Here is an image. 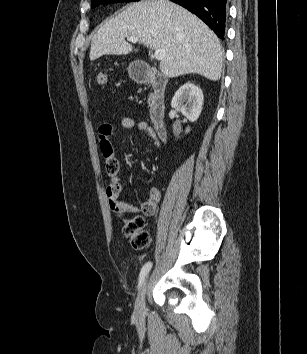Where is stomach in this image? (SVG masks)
Returning <instances> with one entry per match:
<instances>
[{
	"instance_id": "stomach-1",
	"label": "stomach",
	"mask_w": 307,
	"mask_h": 354,
	"mask_svg": "<svg viewBox=\"0 0 307 354\" xmlns=\"http://www.w3.org/2000/svg\"><path fill=\"white\" fill-rule=\"evenodd\" d=\"M128 72L131 77H135L137 75L134 63H131L128 67Z\"/></svg>"
}]
</instances>
